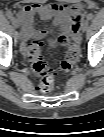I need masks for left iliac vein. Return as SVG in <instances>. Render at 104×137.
I'll use <instances>...</instances> for the list:
<instances>
[{
	"mask_svg": "<svg viewBox=\"0 0 104 137\" xmlns=\"http://www.w3.org/2000/svg\"><path fill=\"white\" fill-rule=\"evenodd\" d=\"M88 29V21L85 20L81 26L82 33L86 32Z\"/></svg>",
	"mask_w": 104,
	"mask_h": 137,
	"instance_id": "left-iliac-vein-1",
	"label": "left iliac vein"
}]
</instances>
